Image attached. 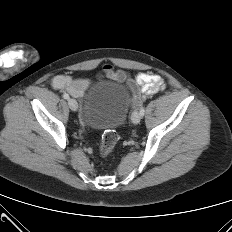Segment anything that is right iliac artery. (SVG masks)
<instances>
[{"instance_id":"82829eb1","label":"right iliac artery","mask_w":232,"mask_h":232,"mask_svg":"<svg viewBox=\"0 0 232 232\" xmlns=\"http://www.w3.org/2000/svg\"><path fill=\"white\" fill-rule=\"evenodd\" d=\"M63 98L68 100L69 99V95L67 93H64L63 94Z\"/></svg>"}]
</instances>
